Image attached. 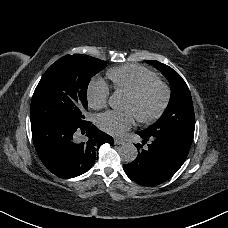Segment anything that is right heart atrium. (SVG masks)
<instances>
[{"label":"right heart atrium","mask_w":228,"mask_h":228,"mask_svg":"<svg viewBox=\"0 0 228 228\" xmlns=\"http://www.w3.org/2000/svg\"><path fill=\"white\" fill-rule=\"evenodd\" d=\"M109 95L110 90L106 83L93 82L88 89V104L92 109L100 110L107 105Z\"/></svg>","instance_id":"obj_1"}]
</instances>
